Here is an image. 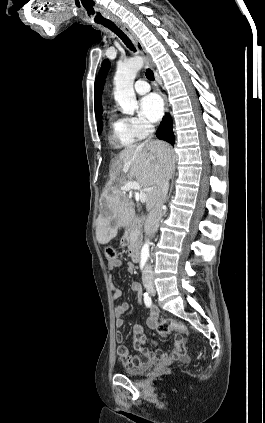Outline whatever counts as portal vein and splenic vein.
<instances>
[{
  "label": "portal vein and splenic vein",
  "instance_id": "18ae733b",
  "mask_svg": "<svg viewBox=\"0 0 265 423\" xmlns=\"http://www.w3.org/2000/svg\"><path fill=\"white\" fill-rule=\"evenodd\" d=\"M122 190L130 191L136 190L137 196L140 202L145 203L147 201V196L145 191L142 189V186L138 182H127L124 186H122Z\"/></svg>",
  "mask_w": 265,
  "mask_h": 423
}]
</instances>
